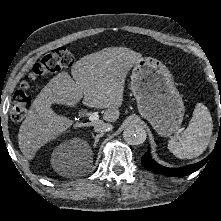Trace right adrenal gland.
<instances>
[{
  "mask_svg": "<svg viewBox=\"0 0 221 221\" xmlns=\"http://www.w3.org/2000/svg\"><path fill=\"white\" fill-rule=\"evenodd\" d=\"M103 135H104V133H101V134H98V135L95 136V135L92 133V137L94 138V144H93L94 147H95L96 144L98 143L100 137H102Z\"/></svg>",
  "mask_w": 221,
  "mask_h": 221,
  "instance_id": "2a0ac1e0",
  "label": "right adrenal gland"
}]
</instances>
